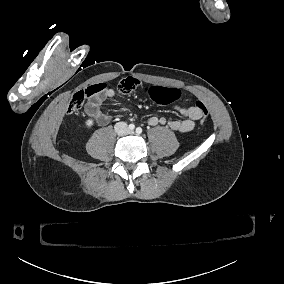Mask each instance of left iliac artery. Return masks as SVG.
Returning <instances> with one entry per match:
<instances>
[{
  "mask_svg": "<svg viewBox=\"0 0 284 284\" xmlns=\"http://www.w3.org/2000/svg\"><path fill=\"white\" fill-rule=\"evenodd\" d=\"M136 133L137 134H141L142 133V128L141 127L136 128Z\"/></svg>",
  "mask_w": 284,
  "mask_h": 284,
  "instance_id": "obj_1",
  "label": "left iliac artery"
}]
</instances>
